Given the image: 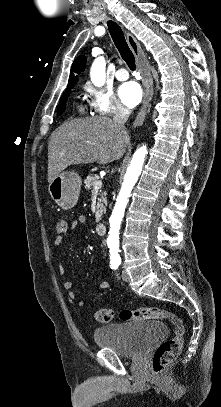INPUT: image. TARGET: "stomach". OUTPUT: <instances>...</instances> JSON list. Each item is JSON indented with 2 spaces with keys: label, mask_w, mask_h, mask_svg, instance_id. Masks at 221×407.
Wrapping results in <instances>:
<instances>
[{
  "label": "stomach",
  "mask_w": 221,
  "mask_h": 407,
  "mask_svg": "<svg viewBox=\"0 0 221 407\" xmlns=\"http://www.w3.org/2000/svg\"><path fill=\"white\" fill-rule=\"evenodd\" d=\"M82 181L75 172H61L48 186L51 198L64 210L72 209L78 202Z\"/></svg>",
  "instance_id": "1"
}]
</instances>
